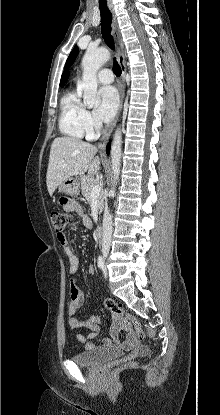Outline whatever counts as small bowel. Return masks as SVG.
I'll use <instances>...</instances> for the list:
<instances>
[{
    "label": "small bowel",
    "instance_id": "obj_1",
    "mask_svg": "<svg viewBox=\"0 0 220 415\" xmlns=\"http://www.w3.org/2000/svg\"><path fill=\"white\" fill-rule=\"evenodd\" d=\"M68 212L76 213L82 220L83 224L87 227L92 225L90 218H88L82 208L76 202H71L64 206ZM57 239L59 243L64 247V252L68 259V270L71 275H75L79 271V258L71 246L68 237L65 233L57 234ZM89 273H93V268H89ZM69 308H68V323L71 329L87 328L89 333L87 335L77 334V340L80 343H83L87 349L95 347V344L92 342V339L96 338L100 332V316L93 315L88 319H78L75 317L77 311L81 308L83 303V294L80 288L78 287L75 281H71L69 287ZM115 319H119L115 317ZM118 327H126L124 323H118ZM116 334V331H114ZM134 344V339L131 336H128L125 340H120L118 337L113 339L103 340L101 346L111 350L118 349H128Z\"/></svg>",
    "mask_w": 220,
    "mask_h": 415
}]
</instances>
